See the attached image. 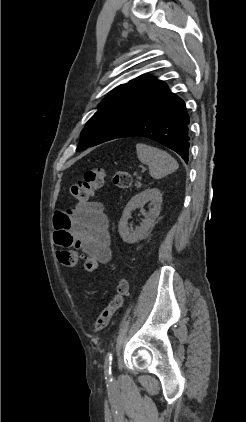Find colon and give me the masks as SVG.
<instances>
[{"label":"colon","mask_w":246,"mask_h":422,"mask_svg":"<svg viewBox=\"0 0 246 422\" xmlns=\"http://www.w3.org/2000/svg\"><path fill=\"white\" fill-rule=\"evenodd\" d=\"M106 176L105 169L100 167L87 170L83 180L71 186V194L78 200H88L103 186ZM113 182L117 187L127 189L132 184V177L127 171L119 170L115 173ZM58 259L62 265L72 267L83 259V257L77 251L62 250L58 252ZM83 265L87 272H94L98 267V262L91 257H85ZM126 292L127 282L121 279L116 286L115 294L94 322V330L96 332L106 328L112 316L122 306Z\"/></svg>","instance_id":"1"}]
</instances>
